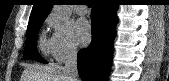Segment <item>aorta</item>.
Returning a JSON list of instances; mask_svg holds the SVG:
<instances>
[{
	"instance_id": "obj_1",
	"label": "aorta",
	"mask_w": 169,
	"mask_h": 81,
	"mask_svg": "<svg viewBox=\"0 0 169 81\" xmlns=\"http://www.w3.org/2000/svg\"><path fill=\"white\" fill-rule=\"evenodd\" d=\"M54 12L63 21H67L72 15L70 5H54Z\"/></svg>"
}]
</instances>
